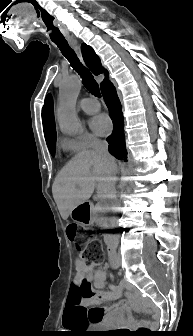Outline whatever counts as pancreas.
Returning <instances> with one entry per match:
<instances>
[{
    "instance_id": "obj_1",
    "label": "pancreas",
    "mask_w": 193,
    "mask_h": 336,
    "mask_svg": "<svg viewBox=\"0 0 193 336\" xmlns=\"http://www.w3.org/2000/svg\"><path fill=\"white\" fill-rule=\"evenodd\" d=\"M102 212H99L98 218H101Z\"/></svg>"
}]
</instances>
